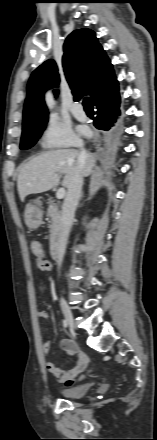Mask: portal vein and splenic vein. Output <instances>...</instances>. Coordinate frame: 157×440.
Wrapping results in <instances>:
<instances>
[{"label": "portal vein and splenic vein", "instance_id": "1", "mask_svg": "<svg viewBox=\"0 0 157 440\" xmlns=\"http://www.w3.org/2000/svg\"><path fill=\"white\" fill-rule=\"evenodd\" d=\"M66 191L64 188H60L58 189L57 193H56V198L57 199H63L65 197Z\"/></svg>", "mask_w": 157, "mask_h": 440}]
</instances>
